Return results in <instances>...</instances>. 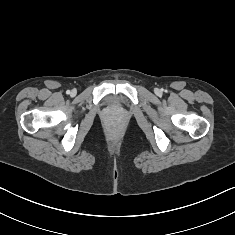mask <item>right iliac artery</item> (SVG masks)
I'll list each match as a JSON object with an SVG mask.
<instances>
[{
  "label": "right iliac artery",
  "mask_w": 235,
  "mask_h": 235,
  "mask_svg": "<svg viewBox=\"0 0 235 235\" xmlns=\"http://www.w3.org/2000/svg\"><path fill=\"white\" fill-rule=\"evenodd\" d=\"M66 93H67V94H70V90H67Z\"/></svg>",
  "instance_id": "82829eb1"
}]
</instances>
